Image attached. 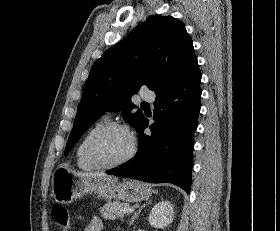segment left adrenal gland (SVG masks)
<instances>
[{
  "label": "left adrenal gland",
  "instance_id": "obj_1",
  "mask_svg": "<svg viewBox=\"0 0 280 231\" xmlns=\"http://www.w3.org/2000/svg\"><path fill=\"white\" fill-rule=\"evenodd\" d=\"M148 203H151V199H148V201H146V203H143V205H141V207H139L138 211H135L134 215H132V217H131L130 225H133L137 215H139L140 211H142L143 207H145V205H148Z\"/></svg>",
  "mask_w": 280,
  "mask_h": 231
}]
</instances>
